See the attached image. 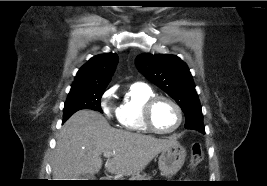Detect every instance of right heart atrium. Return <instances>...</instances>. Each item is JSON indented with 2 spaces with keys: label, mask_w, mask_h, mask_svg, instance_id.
<instances>
[{
  "label": "right heart atrium",
  "mask_w": 267,
  "mask_h": 186,
  "mask_svg": "<svg viewBox=\"0 0 267 186\" xmlns=\"http://www.w3.org/2000/svg\"><path fill=\"white\" fill-rule=\"evenodd\" d=\"M113 92H114L113 89L107 90L106 92L103 93L102 98H101V107L104 113L108 117H111L112 115V106L110 104V99H111V96L113 95Z\"/></svg>",
  "instance_id": "d8ad5b80"
}]
</instances>
